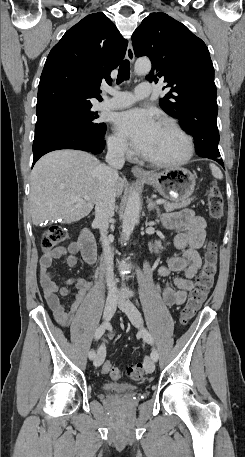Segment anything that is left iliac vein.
<instances>
[{
  "label": "left iliac vein",
  "instance_id": "4c4485c4",
  "mask_svg": "<svg viewBox=\"0 0 245 457\" xmlns=\"http://www.w3.org/2000/svg\"><path fill=\"white\" fill-rule=\"evenodd\" d=\"M118 307L123 310V312L129 317V320L135 327L142 329V315L137 307L133 304V302L129 301L128 299L121 298L119 299ZM144 368L146 373H152L155 370V363L151 357L145 358Z\"/></svg>",
  "mask_w": 245,
  "mask_h": 457
}]
</instances>
